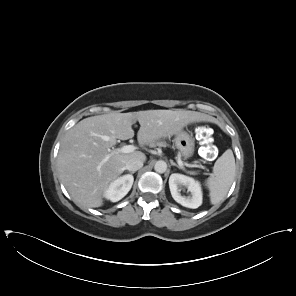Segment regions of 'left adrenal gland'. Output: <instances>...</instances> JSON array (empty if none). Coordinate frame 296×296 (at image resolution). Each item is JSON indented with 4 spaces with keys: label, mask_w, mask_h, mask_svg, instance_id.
Wrapping results in <instances>:
<instances>
[{
    "label": "left adrenal gland",
    "mask_w": 296,
    "mask_h": 296,
    "mask_svg": "<svg viewBox=\"0 0 296 296\" xmlns=\"http://www.w3.org/2000/svg\"><path fill=\"white\" fill-rule=\"evenodd\" d=\"M171 165L172 166H176L177 168H179V169H182V167L181 166H179L178 164H176L175 162H173V161H171Z\"/></svg>",
    "instance_id": "a2214340"
}]
</instances>
